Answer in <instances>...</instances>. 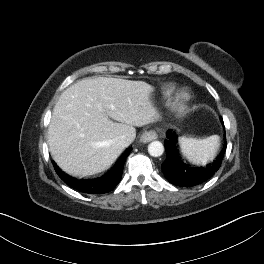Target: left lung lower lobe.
<instances>
[{
    "label": "left lung lower lobe",
    "mask_w": 264,
    "mask_h": 264,
    "mask_svg": "<svg viewBox=\"0 0 264 264\" xmlns=\"http://www.w3.org/2000/svg\"><path fill=\"white\" fill-rule=\"evenodd\" d=\"M221 122L223 124V119ZM165 150L166 160L161 165L165 178L176 186H196L208 180L221 166L225 151L226 142L217 158L204 167H195L185 163L178 152L176 143L177 137L168 131L166 133Z\"/></svg>",
    "instance_id": "0a47b994"
}]
</instances>
